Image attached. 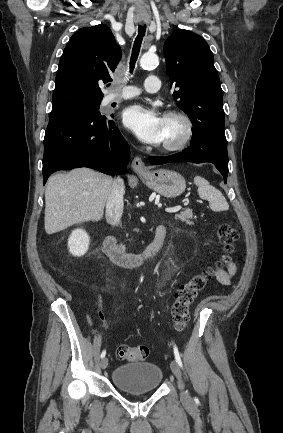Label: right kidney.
<instances>
[{
    "label": "right kidney",
    "mask_w": 283,
    "mask_h": 433,
    "mask_svg": "<svg viewBox=\"0 0 283 433\" xmlns=\"http://www.w3.org/2000/svg\"><path fill=\"white\" fill-rule=\"evenodd\" d=\"M90 244V237L83 229L74 230L68 239V248L73 256L84 255Z\"/></svg>",
    "instance_id": "1"
}]
</instances>
